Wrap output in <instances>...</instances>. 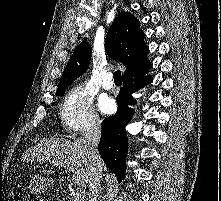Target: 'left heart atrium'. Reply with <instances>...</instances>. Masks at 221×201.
<instances>
[{
  "label": "left heart atrium",
  "instance_id": "obj_1",
  "mask_svg": "<svg viewBox=\"0 0 221 201\" xmlns=\"http://www.w3.org/2000/svg\"><path fill=\"white\" fill-rule=\"evenodd\" d=\"M99 109L105 114L112 113L115 109V102L112 98L103 95L98 101Z\"/></svg>",
  "mask_w": 221,
  "mask_h": 201
}]
</instances>
